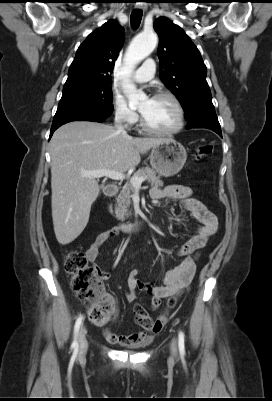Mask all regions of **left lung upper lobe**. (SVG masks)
I'll list each match as a JSON object with an SVG mask.
<instances>
[{"label":"left lung upper lobe","mask_w":272,"mask_h":401,"mask_svg":"<svg viewBox=\"0 0 272 401\" xmlns=\"http://www.w3.org/2000/svg\"><path fill=\"white\" fill-rule=\"evenodd\" d=\"M154 29L160 39V78L179 100L185 119L215 113L206 66L197 47L178 25L165 17L155 20Z\"/></svg>","instance_id":"obj_1"}]
</instances>
